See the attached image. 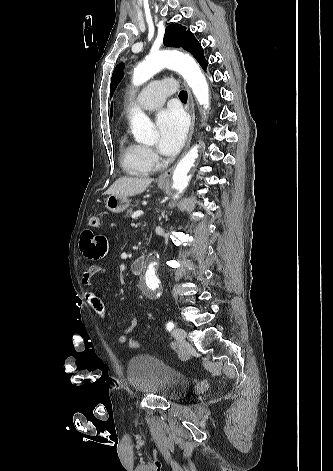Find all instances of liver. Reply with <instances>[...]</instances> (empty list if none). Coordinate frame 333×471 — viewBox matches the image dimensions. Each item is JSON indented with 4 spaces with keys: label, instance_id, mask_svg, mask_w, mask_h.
Masks as SVG:
<instances>
[{
    "label": "liver",
    "instance_id": "1",
    "mask_svg": "<svg viewBox=\"0 0 333 471\" xmlns=\"http://www.w3.org/2000/svg\"><path fill=\"white\" fill-rule=\"evenodd\" d=\"M152 182V178L121 177L110 186L105 194L134 196L144 192Z\"/></svg>",
    "mask_w": 333,
    "mask_h": 471
}]
</instances>
